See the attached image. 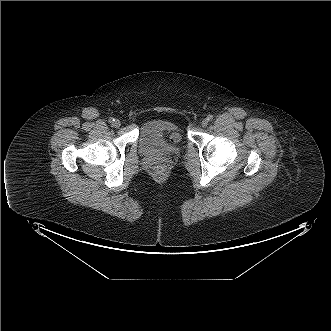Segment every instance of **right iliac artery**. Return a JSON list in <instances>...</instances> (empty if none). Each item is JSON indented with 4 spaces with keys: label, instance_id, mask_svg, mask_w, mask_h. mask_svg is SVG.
<instances>
[{
    "label": "right iliac artery",
    "instance_id": "82829eb1",
    "mask_svg": "<svg viewBox=\"0 0 331 331\" xmlns=\"http://www.w3.org/2000/svg\"><path fill=\"white\" fill-rule=\"evenodd\" d=\"M114 121H115V119H114V118H112V117H111V118H109V122H110V123H113Z\"/></svg>",
    "mask_w": 331,
    "mask_h": 331
}]
</instances>
